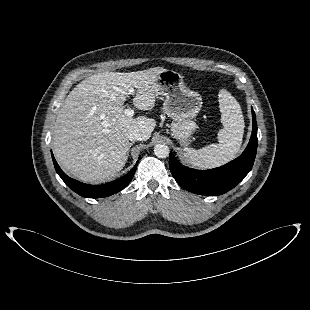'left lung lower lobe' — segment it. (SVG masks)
<instances>
[{"label":"left lung lower lobe","instance_id":"1","mask_svg":"<svg viewBox=\"0 0 310 310\" xmlns=\"http://www.w3.org/2000/svg\"><path fill=\"white\" fill-rule=\"evenodd\" d=\"M252 135L245 151L235 160L221 167L210 170H195L180 164L173 153H170V171L177 181L187 191L217 196L234 188L252 169L257 151V123L252 109Z\"/></svg>","mask_w":310,"mask_h":310}]
</instances>
